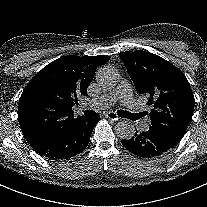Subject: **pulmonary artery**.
<instances>
[{
  "label": "pulmonary artery",
  "instance_id": "1",
  "mask_svg": "<svg viewBox=\"0 0 207 207\" xmlns=\"http://www.w3.org/2000/svg\"><path fill=\"white\" fill-rule=\"evenodd\" d=\"M122 94V97L119 96ZM119 98H122V102L127 105V111L130 114H137L140 111V104L135 101V94L132 92V85L128 81H121L116 89H114L109 94L101 96L98 100H93V102H106V106L113 105ZM149 127V121L145 120L142 123V129L147 130Z\"/></svg>",
  "mask_w": 207,
  "mask_h": 207
}]
</instances>
